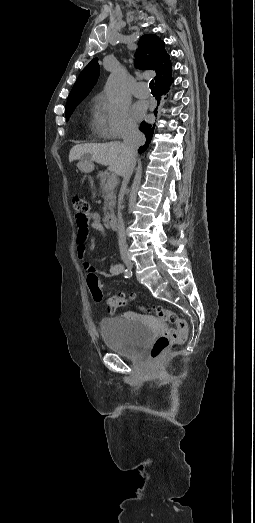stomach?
<instances>
[{
    "mask_svg": "<svg viewBox=\"0 0 255 523\" xmlns=\"http://www.w3.org/2000/svg\"><path fill=\"white\" fill-rule=\"evenodd\" d=\"M79 168L82 172H92L94 166L90 162V164H79Z\"/></svg>",
    "mask_w": 255,
    "mask_h": 523,
    "instance_id": "1",
    "label": "stomach"
}]
</instances>
